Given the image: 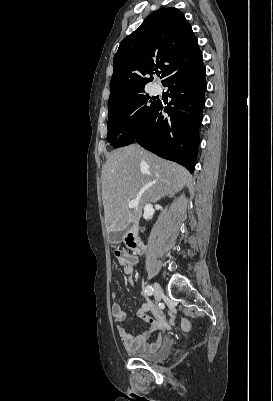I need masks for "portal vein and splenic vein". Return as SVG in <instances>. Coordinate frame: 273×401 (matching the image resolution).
I'll return each instance as SVG.
<instances>
[{
	"mask_svg": "<svg viewBox=\"0 0 273 401\" xmlns=\"http://www.w3.org/2000/svg\"><path fill=\"white\" fill-rule=\"evenodd\" d=\"M139 201H130L128 207L129 209H135V207H138Z\"/></svg>",
	"mask_w": 273,
	"mask_h": 401,
	"instance_id": "portal-vein-and-splenic-vein-1",
	"label": "portal vein and splenic vein"
}]
</instances>
